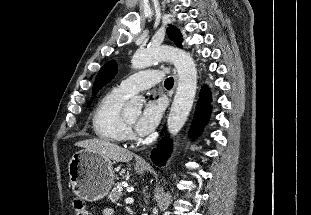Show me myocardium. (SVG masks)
<instances>
[{
  "label": "myocardium",
  "mask_w": 311,
  "mask_h": 215,
  "mask_svg": "<svg viewBox=\"0 0 311 215\" xmlns=\"http://www.w3.org/2000/svg\"><path fill=\"white\" fill-rule=\"evenodd\" d=\"M124 121L126 123L127 126L131 125V122L127 120V118L124 116Z\"/></svg>",
  "instance_id": "obj_1"
}]
</instances>
